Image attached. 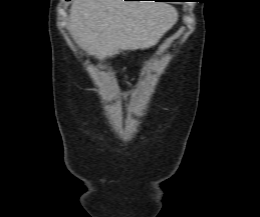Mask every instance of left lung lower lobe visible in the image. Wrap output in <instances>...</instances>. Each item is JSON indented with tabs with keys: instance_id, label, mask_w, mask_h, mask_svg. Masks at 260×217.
<instances>
[{
	"instance_id": "1",
	"label": "left lung lower lobe",
	"mask_w": 260,
	"mask_h": 217,
	"mask_svg": "<svg viewBox=\"0 0 260 217\" xmlns=\"http://www.w3.org/2000/svg\"><path fill=\"white\" fill-rule=\"evenodd\" d=\"M157 1H161V0H157ZM162 1H169V0H162Z\"/></svg>"
}]
</instances>
